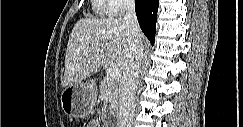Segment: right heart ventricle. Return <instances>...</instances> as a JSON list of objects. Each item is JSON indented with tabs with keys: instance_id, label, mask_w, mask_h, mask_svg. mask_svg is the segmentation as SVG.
I'll list each match as a JSON object with an SVG mask.
<instances>
[{
	"instance_id": "e07e8e85",
	"label": "right heart ventricle",
	"mask_w": 243,
	"mask_h": 127,
	"mask_svg": "<svg viewBox=\"0 0 243 127\" xmlns=\"http://www.w3.org/2000/svg\"><path fill=\"white\" fill-rule=\"evenodd\" d=\"M94 10L99 16L103 17L109 13L110 4L106 0H96L94 2Z\"/></svg>"
}]
</instances>
